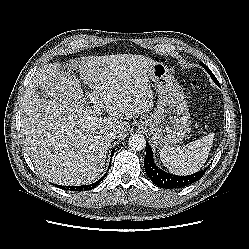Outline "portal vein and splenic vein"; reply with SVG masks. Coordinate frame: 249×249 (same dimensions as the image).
Segmentation results:
<instances>
[{
	"instance_id": "obj_1",
	"label": "portal vein and splenic vein",
	"mask_w": 249,
	"mask_h": 249,
	"mask_svg": "<svg viewBox=\"0 0 249 249\" xmlns=\"http://www.w3.org/2000/svg\"><path fill=\"white\" fill-rule=\"evenodd\" d=\"M88 97L90 98L91 102L94 104L93 106V110L96 114H100L101 113V102L98 100V97L96 95L95 92L93 93H89Z\"/></svg>"
}]
</instances>
